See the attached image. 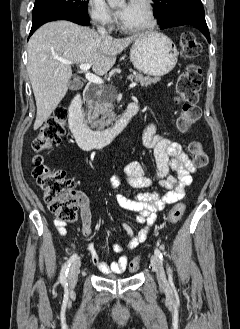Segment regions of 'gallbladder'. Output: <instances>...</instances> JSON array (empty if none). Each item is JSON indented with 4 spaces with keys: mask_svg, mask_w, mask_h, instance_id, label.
Returning a JSON list of instances; mask_svg holds the SVG:
<instances>
[{
    "mask_svg": "<svg viewBox=\"0 0 240 329\" xmlns=\"http://www.w3.org/2000/svg\"><path fill=\"white\" fill-rule=\"evenodd\" d=\"M81 86V83L79 81H77L76 79H74L73 81L70 82L69 84V88L71 90H77L79 89Z\"/></svg>",
    "mask_w": 240,
    "mask_h": 329,
    "instance_id": "obj_1",
    "label": "gallbladder"
}]
</instances>
